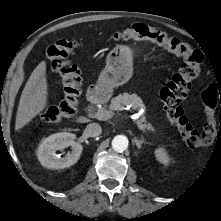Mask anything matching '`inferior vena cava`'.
Here are the masks:
<instances>
[{"instance_id":"1","label":"inferior vena cava","mask_w":221,"mask_h":221,"mask_svg":"<svg viewBox=\"0 0 221 221\" xmlns=\"http://www.w3.org/2000/svg\"><path fill=\"white\" fill-rule=\"evenodd\" d=\"M85 132L90 137H96L102 133V129L98 123H90L87 125Z\"/></svg>"}]
</instances>
